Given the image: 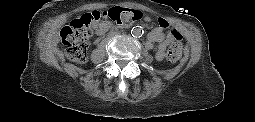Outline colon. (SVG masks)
<instances>
[{"instance_id": "colon-1", "label": "colon", "mask_w": 255, "mask_h": 122, "mask_svg": "<svg viewBox=\"0 0 255 122\" xmlns=\"http://www.w3.org/2000/svg\"><path fill=\"white\" fill-rule=\"evenodd\" d=\"M142 12L138 10L111 8L107 11H93L73 20L61 32L63 43L67 46L66 54L69 59L84 62L87 57L88 44L94 29L101 21H111L118 25H129L142 19ZM166 27L165 22H160ZM174 41L167 50V59L175 62L182 55L181 34L176 29L170 30Z\"/></svg>"}]
</instances>
